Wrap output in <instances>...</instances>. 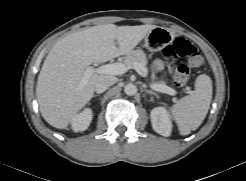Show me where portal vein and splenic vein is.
I'll return each mask as SVG.
<instances>
[{"label":"portal vein and splenic vein","mask_w":246,"mask_h":181,"mask_svg":"<svg viewBox=\"0 0 246 181\" xmlns=\"http://www.w3.org/2000/svg\"><path fill=\"white\" fill-rule=\"evenodd\" d=\"M130 68L135 69V71L143 77H146V75H147L146 69L139 63H134L132 66H128V65L123 64V63H113V64H106V65L100 66L98 68L87 67L84 71V74H83L81 86H84L87 82V79L95 73H97V74H109V75H120V74H124L125 72H127V70ZM151 88L155 91L166 93V94H169L172 96H175L177 94L176 90H174V89H172L166 85L153 83V84H151ZM184 92L187 94H192V91L190 90L189 87H187Z\"/></svg>","instance_id":"1"}]
</instances>
